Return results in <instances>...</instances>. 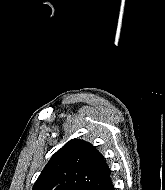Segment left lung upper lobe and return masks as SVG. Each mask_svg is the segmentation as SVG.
Wrapping results in <instances>:
<instances>
[{
    "mask_svg": "<svg viewBox=\"0 0 165 190\" xmlns=\"http://www.w3.org/2000/svg\"><path fill=\"white\" fill-rule=\"evenodd\" d=\"M110 169L96 148L72 139L49 160L33 190H101Z\"/></svg>",
    "mask_w": 165,
    "mask_h": 190,
    "instance_id": "obj_1",
    "label": "left lung upper lobe"
}]
</instances>
